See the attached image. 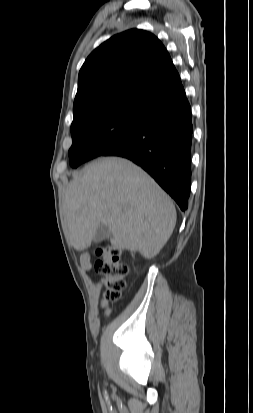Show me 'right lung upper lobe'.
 <instances>
[{
    "mask_svg": "<svg viewBox=\"0 0 253 413\" xmlns=\"http://www.w3.org/2000/svg\"><path fill=\"white\" fill-rule=\"evenodd\" d=\"M186 98L180 76L153 34L132 29L102 43L80 69L74 119L111 107L147 112Z\"/></svg>",
    "mask_w": 253,
    "mask_h": 413,
    "instance_id": "cb5924a9",
    "label": "right lung upper lobe"
}]
</instances>
